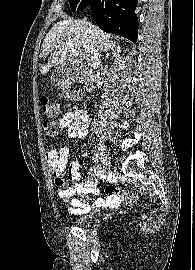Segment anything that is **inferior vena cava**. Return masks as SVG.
Listing matches in <instances>:
<instances>
[{"instance_id": "1", "label": "inferior vena cava", "mask_w": 195, "mask_h": 270, "mask_svg": "<svg viewBox=\"0 0 195 270\" xmlns=\"http://www.w3.org/2000/svg\"><path fill=\"white\" fill-rule=\"evenodd\" d=\"M91 39H92L91 52L87 61H88V65H90L93 69L96 70L95 78H99L100 77L99 68L101 66L99 45L96 44L95 42L96 37L94 33L92 32H91Z\"/></svg>"}]
</instances>
